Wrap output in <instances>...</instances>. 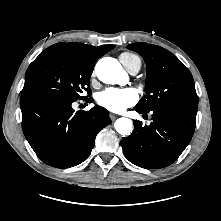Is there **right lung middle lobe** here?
<instances>
[{
  "label": "right lung middle lobe",
  "instance_id": "right-lung-middle-lobe-1",
  "mask_svg": "<svg viewBox=\"0 0 221 221\" xmlns=\"http://www.w3.org/2000/svg\"><path fill=\"white\" fill-rule=\"evenodd\" d=\"M94 65L66 51H43L28 67L21 97L51 95L76 101L90 90Z\"/></svg>",
  "mask_w": 221,
  "mask_h": 221
}]
</instances>
